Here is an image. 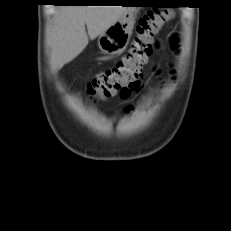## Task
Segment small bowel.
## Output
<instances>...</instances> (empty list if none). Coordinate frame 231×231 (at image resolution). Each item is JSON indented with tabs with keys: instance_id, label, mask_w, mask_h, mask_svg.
Instances as JSON below:
<instances>
[{
	"instance_id": "c3829d8e",
	"label": "small bowel",
	"mask_w": 231,
	"mask_h": 231,
	"mask_svg": "<svg viewBox=\"0 0 231 231\" xmlns=\"http://www.w3.org/2000/svg\"><path fill=\"white\" fill-rule=\"evenodd\" d=\"M172 47L174 49L178 48L177 39L176 38L172 39ZM140 90H141V82L138 80V81L132 82V83L126 85L125 87H123L119 91L118 94H119V97L122 100H128L134 93H137ZM127 110H130V109L128 108Z\"/></svg>"
}]
</instances>
